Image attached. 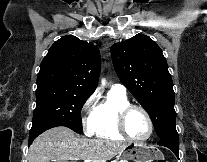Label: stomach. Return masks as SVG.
Instances as JSON below:
<instances>
[{
    "mask_svg": "<svg viewBox=\"0 0 207 162\" xmlns=\"http://www.w3.org/2000/svg\"><path fill=\"white\" fill-rule=\"evenodd\" d=\"M117 160H119L117 162L127 160H132L134 162H153L154 160H164V156L158 149L146 145L134 144L128 145L124 151L119 154Z\"/></svg>",
    "mask_w": 207,
    "mask_h": 162,
    "instance_id": "obj_1",
    "label": "stomach"
}]
</instances>
